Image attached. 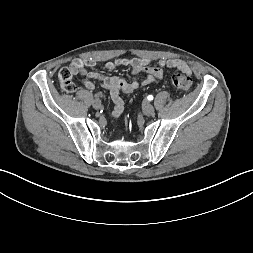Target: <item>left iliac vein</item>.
Listing matches in <instances>:
<instances>
[{"instance_id":"4c4485c4","label":"left iliac vein","mask_w":253,"mask_h":253,"mask_svg":"<svg viewBox=\"0 0 253 253\" xmlns=\"http://www.w3.org/2000/svg\"><path fill=\"white\" fill-rule=\"evenodd\" d=\"M142 111L146 116H151L154 114L155 109L153 105L147 103L142 107Z\"/></svg>"}]
</instances>
